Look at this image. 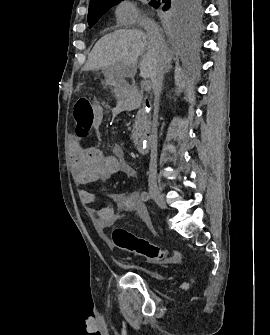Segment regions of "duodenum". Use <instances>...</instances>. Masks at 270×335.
<instances>
[{"label": "duodenum", "instance_id": "410a0bca", "mask_svg": "<svg viewBox=\"0 0 270 335\" xmlns=\"http://www.w3.org/2000/svg\"><path fill=\"white\" fill-rule=\"evenodd\" d=\"M142 101L139 90L127 84L120 86V104L123 110L136 109ZM136 148L141 154H146L149 150V139L147 137H140L136 141Z\"/></svg>", "mask_w": 270, "mask_h": 335}]
</instances>
